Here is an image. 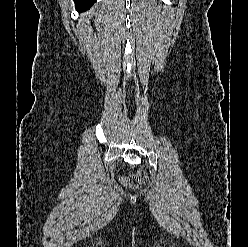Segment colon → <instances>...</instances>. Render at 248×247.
I'll return each instance as SVG.
<instances>
[{
  "instance_id": "1",
  "label": "colon",
  "mask_w": 248,
  "mask_h": 247,
  "mask_svg": "<svg viewBox=\"0 0 248 247\" xmlns=\"http://www.w3.org/2000/svg\"><path fill=\"white\" fill-rule=\"evenodd\" d=\"M146 180L147 174L144 170H138L135 173L120 178L121 183L130 188H137L144 184Z\"/></svg>"
}]
</instances>
